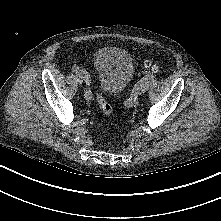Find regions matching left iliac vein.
I'll return each mask as SVG.
<instances>
[{"mask_svg": "<svg viewBox=\"0 0 221 221\" xmlns=\"http://www.w3.org/2000/svg\"><path fill=\"white\" fill-rule=\"evenodd\" d=\"M148 88H149L148 83H143V84L140 86L139 91L142 92V93H144V92H146V91L148 90Z\"/></svg>", "mask_w": 221, "mask_h": 221, "instance_id": "4c4485c4", "label": "left iliac vein"}]
</instances>
